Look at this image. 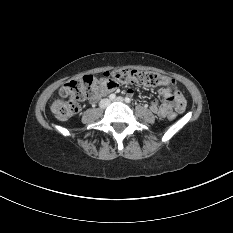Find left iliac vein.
Returning a JSON list of instances; mask_svg holds the SVG:
<instances>
[{
  "label": "left iliac vein",
  "instance_id": "left-iliac-vein-1",
  "mask_svg": "<svg viewBox=\"0 0 233 233\" xmlns=\"http://www.w3.org/2000/svg\"><path fill=\"white\" fill-rule=\"evenodd\" d=\"M115 101H117V102H124V99H123L122 97H117V98L115 99Z\"/></svg>",
  "mask_w": 233,
  "mask_h": 233
}]
</instances>
